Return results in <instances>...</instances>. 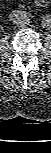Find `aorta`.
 <instances>
[{
  "mask_svg": "<svg viewBox=\"0 0 51 153\" xmlns=\"http://www.w3.org/2000/svg\"><path fill=\"white\" fill-rule=\"evenodd\" d=\"M43 30L46 32H51V15H44L43 16Z\"/></svg>",
  "mask_w": 51,
  "mask_h": 153,
  "instance_id": "1",
  "label": "aorta"
}]
</instances>
